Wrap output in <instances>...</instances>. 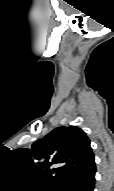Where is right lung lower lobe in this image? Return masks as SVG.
Listing matches in <instances>:
<instances>
[{
  "instance_id": "right-lung-lower-lobe-1",
  "label": "right lung lower lobe",
  "mask_w": 114,
  "mask_h": 191,
  "mask_svg": "<svg viewBox=\"0 0 114 191\" xmlns=\"http://www.w3.org/2000/svg\"><path fill=\"white\" fill-rule=\"evenodd\" d=\"M96 169L81 176L68 179L58 187V191H93Z\"/></svg>"
}]
</instances>
